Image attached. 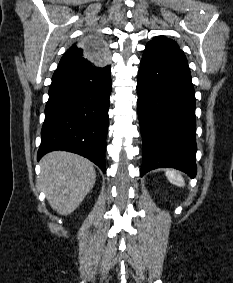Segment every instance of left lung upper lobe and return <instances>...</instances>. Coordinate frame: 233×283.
<instances>
[{"mask_svg":"<svg viewBox=\"0 0 233 283\" xmlns=\"http://www.w3.org/2000/svg\"><path fill=\"white\" fill-rule=\"evenodd\" d=\"M149 46H161V45H172L178 47L177 43L171 39H168L164 36H157L153 40L147 43Z\"/></svg>","mask_w":233,"mask_h":283,"instance_id":"5c2ea615","label":"left lung upper lobe"}]
</instances>
